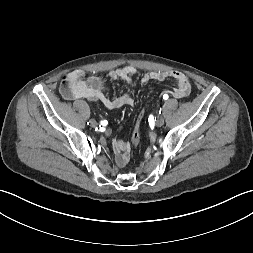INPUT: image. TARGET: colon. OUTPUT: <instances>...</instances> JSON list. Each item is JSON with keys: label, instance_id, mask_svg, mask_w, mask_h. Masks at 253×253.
I'll list each match as a JSON object with an SVG mask.
<instances>
[{"label": "colon", "instance_id": "1", "mask_svg": "<svg viewBox=\"0 0 253 253\" xmlns=\"http://www.w3.org/2000/svg\"><path fill=\"white\" fill-rule=\"evenodd\" d=\"M145 108L146 107L143 105L137 112L138 119L134 125L132 132V143L134 146H138L140 143L142 120H144L145 116L147 115V110Z\"/></svg>", "mask_w": 253, "mask_h": 253}]
</instances>
